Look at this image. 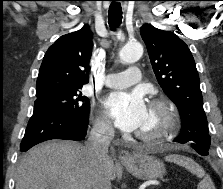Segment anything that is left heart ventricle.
<instances>
[{
  "mask_svg": "<svg viewBox=\"0 0 223 189\" xmlns=\"http://www.w3.org/2000/svg\"><path fill=\"white\" fill-rule=\"evenodd\" d=\"M162 116L157 111L147 108L146 119L140 130H151L161 122Z\"/></svg>",
  "mask_w": 223,
  "mask_h": 189,
  "instance_id": "obj_1",
  "label": "left heart ventricle"
}]
</instances>
